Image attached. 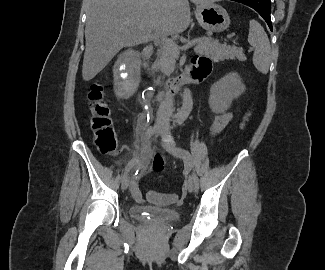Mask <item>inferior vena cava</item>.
<instances>
[{
	"mask_svg": "<svg viewBox=\"0 0 325 270\" xmlns=\"http://www.w3.org/2000/svg\"><path fill=\"white\" fill-rule=\"evenodd\" d=\"M172 112L173 98L170 95H167L159 106L157 120L167 121Z\"/></svg>",
	"mask_w": 325,
	"mask_h": 270,
	"instance_id": "602c4592",
	"label": "inferior vena cava"
}]
</instances>
